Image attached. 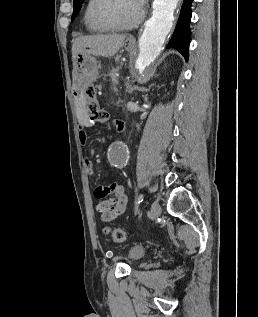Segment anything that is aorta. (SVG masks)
Listing matches in <instances>:
<instances>
[{
    "label": "aorta",
    "mask_w": 258,
    "mask_h": 317,
    "mask_svg": "<svg viewBox=\"0 0 258 317\" xmlns=\"http://www.w3.org/2000/svg\"><path fill=\"white\" fill-rule=\"evenodd\" d=\"M179 0H154L151 18L145 23L139 39V54L135 68L139 74L149 67L162 50L174 21V10ZM111 165L123 168L128 161V150L121 141L112 144L108 154Z\"/></svg>",
    "instance_id": "aorta-1"
}]
</instances>
